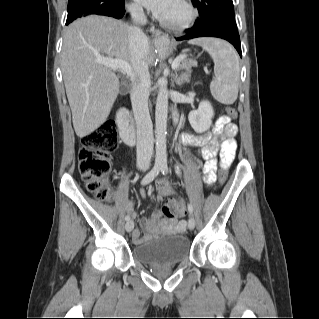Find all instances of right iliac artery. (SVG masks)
<instances>
[{
  "label": "right iliac artery",
  "instance_id": "right-iliac-artery-1",
  "mask_svg": "<svg viewBox=\"0 0 319 319\" xmlns=\"http://www.w3.org/2000/svg\"><path fill=\"white\" fill-rule=\"evenodd\" d=\"M161 171V165H154V167L144 176L141 181L142 185H147L154 180V178L159 174ZM130 217L127 215L125 220L128 221Z\"/></svg>",
  "mask_w": 319,
  "mask_h": 319
}]
</instances>
